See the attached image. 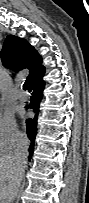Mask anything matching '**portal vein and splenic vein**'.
<instances>
[{
    "label": "portal vein and splenic vein",
    "mask_w": 89,
    "mask_h": 203,
    "mask_svg": "<svg viewBox=\"0 0 89 203\" xmlns=\"http://www.w3.org/2000/svg\"><path fill=\"white\" fill-rule=\"evenodd\" d=\"M1 203H7V202L1 201Z\"/></svg>",
    "instance_id": "1"
}]
</instances>
